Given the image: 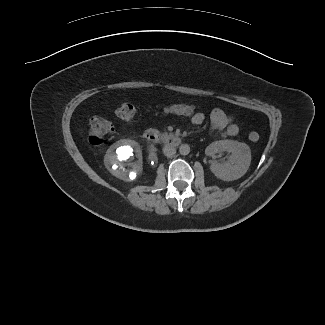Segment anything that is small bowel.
I'll use <instances>...</instances> for the list:
<instances>
[{
  "label": "small bowel",
  "mask_w": 325,
  "mask_h": 325,
  "mask_svg": "<svg viewBox=\"0 0 325 325\" xmlns=\"http://www.w3.org/2000/svg\"><path fill=\"white\" fill-rule=\"evenodd\" d=\"M190 120L194 125H201L205 121V114L201 112L200 117L190 118ZM210 132H219L222 137H233L238 133V126L230 115L215 108L210 112Z\"/></svg>",
  "instance_id": "1"
}]
</instances>
